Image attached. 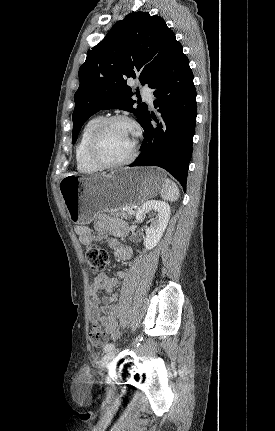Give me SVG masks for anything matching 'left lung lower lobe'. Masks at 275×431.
<instances>
[{
	"instance_id": "0a47b994",
	"label": "left lung lower lobe",
	"mask_w": 275,
	"mask_h": 431,
	"mask_svg": "<svg viewBox=\"0 0 275 431\" xmlns=\"http://www.w3.org/2000/svg\"><path fill=\"white\" fill-rule=\"evenodd\" d=\"M155 108L147 112L141 126L145 131L141 153L129 166H158L172 174L186 189L192 156L197 107L196 89L189 60L177 46L161 75L152 86ZM155 120L156 125L151 121Z\"/></svg>"
}]
</instances>
